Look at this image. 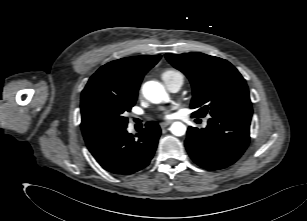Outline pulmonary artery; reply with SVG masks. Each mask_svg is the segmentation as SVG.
Here are the masks:
<instances>
[{"instance_id":"e3ab8cb5","label":"pulmonary artery","mask_w":307,"mask_h":221,"mask_svg":"<svg viewBox=\"0 0 307 221\" xmlns=\"http://www.w3.org/2000/svg\"><path fill=\"white\" fill-rule=\"evenodd\" d=\"M183 83H184V78L182 75L175 76L169 79L167 82H165L167 88L173 93L178 92L183 86Z\"/></svg>"}]
</instances>
